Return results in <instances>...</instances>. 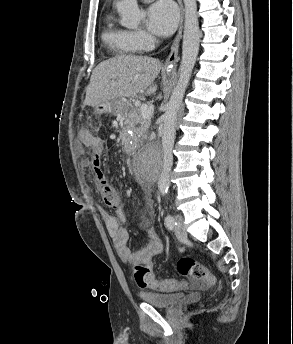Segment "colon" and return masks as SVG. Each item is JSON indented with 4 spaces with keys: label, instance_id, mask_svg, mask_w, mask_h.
<instances>
[{
    "label": "colon",
    "instance_id": "5ec220e1",
    "mask_svg": "<svg viewBox=\"0 0 293 344\" xmlns=\"http://www.w3.org/2000/svg\"><path fill=\"white\" fill-rule=\"evenodd\" d=\"M102 146L97 147L100 152ZM100 195L109 207L116 208L121 204V195L110 184L104 175H99L97 178ZM178 273L186 278L192 279L194 282L206 281L208 283L213 281V277L208 273L207 268L191 257H182L177 261ZM134 279L140 288H154L164 291L175 290L182 288L184 284L176 279L158 280L153 273V265L151 262L136 266L134 268Z\"/></svg>",
    "mask_w": 293,
    "mask_h": 344
}]
</instances>
